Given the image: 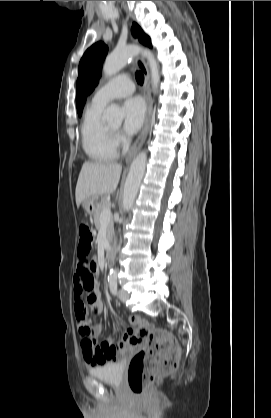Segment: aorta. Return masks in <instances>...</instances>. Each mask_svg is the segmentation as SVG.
Returning a JSON list of instances; mask_svg holds the SVG:
<instances>
[{"label":"aorta","instance_id":"762f6f07","mask_svg":"<svg viewBox=\"0 0 271 418\" xmlns=\"http://www.w3.org/2000/svg\"><path fill=\"white\" fill-rule=\"evenodd\" d=\"M138 53H141L148 60L151 73V84L153 91L156 93L160 81L159 66L153 53L149 50L142 49L138 46H127L125 48L115 49L106 57L103 65V72L107 77L115 75L127 64L130 58L134 57ZM123 118V110L115 104H111L105 112V120L109 123L120 125ZM146 162V152L141 151L131 163L123 192V208L126 212L132 208L135 202L145 173ZM116 276V269H111L109 279L115 280Z\"/></svg>","mask_w":271,"mask_h":418}]
</instances>
